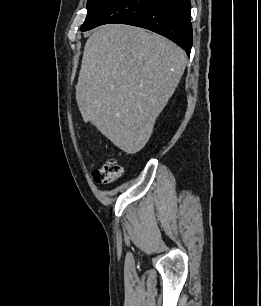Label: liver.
Instances as JSON below:
<instances>
[{
	"mask_svg": "<svg viewBox=\"0 0 261 306\" xmlns=\"http://www.w3.org/2000/svg\"><path fill=\"white\" fill-rule=\"evenodd\" d=\"M186 64L185 52L158 34L123 24L97 28L85 44L76 86L84 122L125 153L139 152Z\"/></svg>",
	"mask_w": 261,
	"mask_h": 306,
	"instance_id": "1",
	"label": "liver"
}]
</instances>
